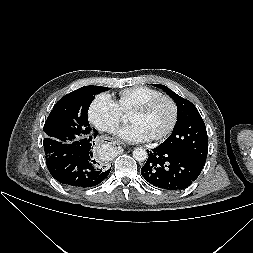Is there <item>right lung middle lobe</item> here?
<instances>
[{"label":"right lung middle lobe","mask_w":253,"mask_h":253,"mask_svg":"<svg viewBox=\"0 0 253 253\" xmlns=\"http://www.w3.org/2000/svg\"><path fill=\"white\" fill-rule=\"evenodd\" d=\"M109 88L84 86L64 97L53 107L44 125V150L57 147L58 143H72L93 134L87 113L95 95Z\"/></svg>","instance_id":"right-lung-middle-lobe-1"}]
</instances>
